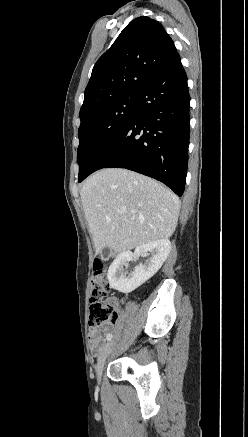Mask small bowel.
Returning a JSON list of instances; mask_svg holds the SVG:
<instances>
[{"label":"small bowel","mask_w":248,"mask_h":437,"mask_svg":"<svg viewBox=\"0 0 248 437\" xmlns=\"http://www.w3.org/2000/svg\"><path fill=\"white\" fill-rule=\"evenodd\" d=\"M113 328L110 324L104 325L102 327V331L108 334H111ZM90 337V343H91V348L93 349L94 352L98 353L101 349V344H102V336L100 334V331L97 329H93L90 331L89 334Z\"/></svg>","instance_id":"small-bowel-1"}]
</instances>
